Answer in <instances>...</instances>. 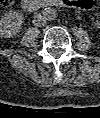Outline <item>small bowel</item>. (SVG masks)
<instances>
[{
    "instance_id": "small-bowel-1",
    "label": "small bowel",
    "mask_w": 100,
    "mask_h": 118,
    "mask_svg": "<svg viewBox=\"0 0 100 118\" xmlns=\"http://www.w3.org/2000/svg\"><path fill=\"white\" fill-rule=\"evenodd\" d=\"M71 2H72V5L78 6L80 8L91 9V8H87V7L83 6V4L86 3V1H84V0H72Z\"/></svg>"
}]
</instances>
